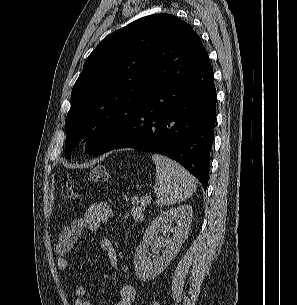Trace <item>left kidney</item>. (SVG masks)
Segmentation results:
<instances>
[{
  "mask_svg": "<svg viewBox=\"0 0 297 305\" xmlns=\"http://www.w3.org/2000/svg\"><path fill=\"white\" fill-rule=\"evenodd\" d=\"M192 218V207L181 205L163 212L150 223L133 258L136 275L140 281L152 280L170 264L187 237ZM174 224L175 226H172ZM159 231L172 236L158 237ZM149 247L153 252L152 256L148 253Z\"/></svg>",
  "mask_w": 297,
  "mask_h": 305,
  "instance_id": "1",
  "label": "left kidney"
}]
</instances>
